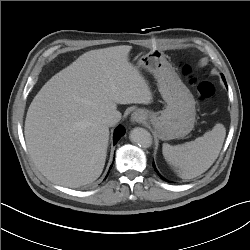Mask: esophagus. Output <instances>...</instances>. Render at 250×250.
Here are the masks:
<instances>
[{"label": "esophagus", "mask_w": 250, "mask_h": 250, "mask_svg": "<svg viewBox=\"0 0 250 250\" xmlns=\"http://www.w3.org/2000/svg\"><path fill=\"white\" fill-rule=\"evenodd\" d=\"M143 119H144L143 113L139 110L133 112L131 115V121L133 123H140L143 121Z\"/></svg>", "instance_id": "34e87169"}]
</instances>
